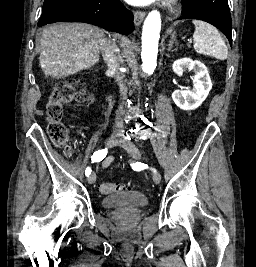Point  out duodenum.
<instances>
[{"mask_svg":"<svg viewBox=\"0 0 256 267\" xmlns=\"http://www.w3.org/2000/svg\"><path fill=\"white\" fill-rule=\"evenodd\" d=\"M102 97L104 98V100H106V101H109L110 100V96L108 95V94H106V93H102Z\"/></svg>","mask_w":256,"mask_h":267,"instance_id":"1","label":"duodenum"}]
</instances>
